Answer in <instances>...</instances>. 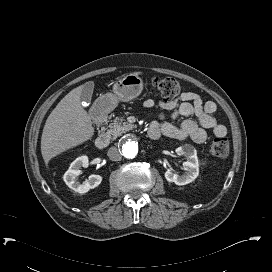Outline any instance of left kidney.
Here are the masks:
<instances>
[{"label": "left kidney", "mask_w": 272, "mask_h": 272, "mask_svg": "<svg viewBox=\"0 0 272 272\" xmlns=\"http://www.w3.org/2000/svg\"><path fill=\"white\" fill-rule=\"evenodd\" d=\"M178 156H185L187 161L183 163L185 174L178 175L177 173L167 170L165 178L168 182H174L176 185H186L194 181L199 175V162L197 151L192 145L180 146L175 150Z\"/></svg>", "instance_id": "5707ae66"}]
</instances>
